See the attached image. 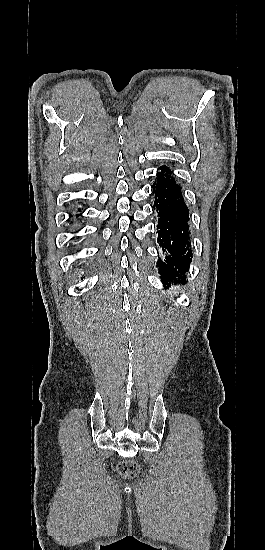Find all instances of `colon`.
Segmentation results:
<instances>
[{
  "label": "colon",
  "instance_id": "5ec220e1",
  "mask_svg": "<svg viewBox=\"0 0 265 550\" xmlns=\"http://www.w3.org/2000/svg\"><path fill=\"white\" fill-rule=\"evenodd\" d=\"M117 468L118 472L125 477H134L139 473V466L131 461H123Z\"/></svg>",
  "mask_w": 265,
  "mask_h": 550
}]
</instances>
